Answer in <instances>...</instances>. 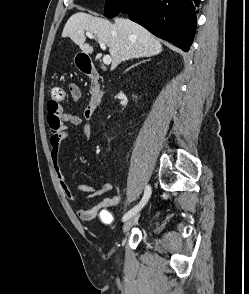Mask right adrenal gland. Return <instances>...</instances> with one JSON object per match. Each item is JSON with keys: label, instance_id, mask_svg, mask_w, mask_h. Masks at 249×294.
Masks as SVG:
<instances>
[{"label": "right adrenal gland", "instance_id": "1", "mask_svg": "<svg viewBox=\"0 0 249 294\" xmlns=\"http://www.w3.org/2000/svg\"><path fill=\"white\" fill-rule=\"evenodd\" d=\"M149 60H150V59L140 61L139 63H136L135 65H132V66H131L130 68H128L127 70L131 69V68L134 67V66L139 65L140 63H144V62L149 61Z\"/></svg>", "mask_w": 249, "mask_h": 294}]
</instances>
